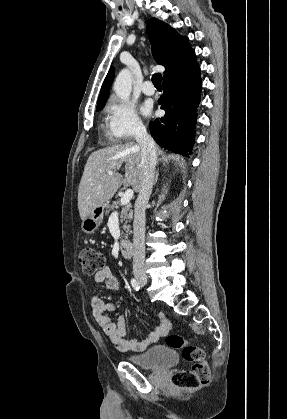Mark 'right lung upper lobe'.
<instances>
[{
    "instance_id": "1",
    "label": "right lung upper lobe",
    "mask_w": 287,
    "mask_h": 419,
    "mask_svg": "<svg viewBox=\"0 0 287 419\" xmlns=\"http://www.w3.org/2000/svg\"><path fill=\"white\" fill-rule=\"evenodd\" d=\"M146 32L152 45L155 61L166 69L163 80L178 76L197 65L194 51L190 47L188 39L179 35L168 24L151 18L147 21ZM113 78L114 68L112 67L101 87L97 107L105 105Z\"/></svg>"
}]
</instances>
